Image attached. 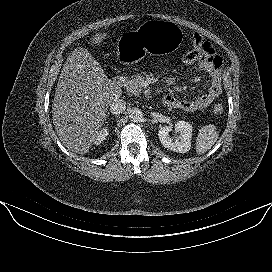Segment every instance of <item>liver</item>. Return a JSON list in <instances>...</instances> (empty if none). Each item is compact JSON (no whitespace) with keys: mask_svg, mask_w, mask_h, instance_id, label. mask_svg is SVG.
Instances as JSON below:
<instances>
[{"mask_svg":"<svg viewBox=\"0 0 272 272\" xmlns=\"http://www.w3.org/2000/svg\"><path fill=\"white\" fill-rule=\"evenodd\" d=\"M105 36L97 33L92 42L100 44ZM121 94L87 49H74L63 65L52 106L53 124L62 144L80 155L88 153L108 107Z\"/></svg>","mask_w":272,"mask_h":272,"instance_id":"obj_1","label":"liver"}]
</instances>
